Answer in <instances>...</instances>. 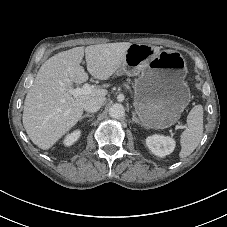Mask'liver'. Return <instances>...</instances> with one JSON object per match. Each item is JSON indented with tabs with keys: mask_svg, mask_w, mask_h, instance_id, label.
Segmentation results:
<instances>
[{
	"mask_svg": "<svg viewBox=\"0 0 227 227\" xmlns=\"http://www.w3.org/2000/svg\"><path fill=\"white\" fill-rule=\"evenodd\" d=\"M129 42L75 47L60 52L40 67L30 87L23 111V125L31 141L43 150L51 148L80 120L84 104L105 97L107 89L93 86L90 93L73 95V83L88 80L80 65L85 55L88 72L97 79H109L122 64Z\"/></svg>",
	"mask_w": 227,
	"mask_h": 227,
	"instance_id": "6515ba94",
	"label": "liver"
}]
</instances>
